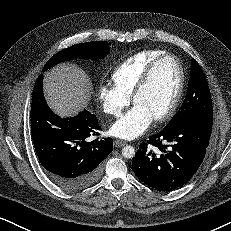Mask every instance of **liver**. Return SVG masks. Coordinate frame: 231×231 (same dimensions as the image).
Masks as SVG:
<instances>
[{
  "instance_id": "liver-1",
  "label": "liver",
  "mask_w": 231,
  "mask_h": 231,
  "mask_svg": "<svg viewBox=\"0 0 231 231\" xmlns=\"http://www.w3.org/2000/svg\"><path fill=\"white\" fill-rule=\"evenodd\" d=\"M91 89L88 75L74 64H60L45 74L46 100L62 117L76 115L86 107Z\"/></svg>"
}]
</instances>
